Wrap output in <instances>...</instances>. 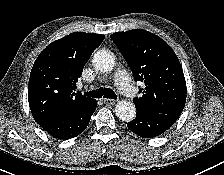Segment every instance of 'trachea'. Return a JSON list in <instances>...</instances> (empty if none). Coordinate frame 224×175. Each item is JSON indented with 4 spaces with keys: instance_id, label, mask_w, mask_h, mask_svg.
Wrapping results in <instances>:
<instances>
[{
    "instance_id": "1",
    "label": "trachea",
    "mask_w": 224,
    "mask_h": 175,
    "mask_svg": "<svg viewBox=\"0 0 224 175\" xmlns=\"http://www.w3.org/2000/svg\"><path fill=\"white\" fill-rule=\"evenodd\" d=\"M84 94L88 97H93V98H101L102 96H104L105 98L117 99L116 94L110 89L100 88L96 91H90Z\"/></svg>"
}]
</instances>
